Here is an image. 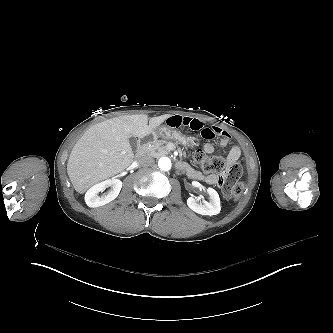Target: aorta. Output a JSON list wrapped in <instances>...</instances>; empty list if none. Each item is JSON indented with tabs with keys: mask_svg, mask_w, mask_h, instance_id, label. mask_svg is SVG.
Masks as SVG:
<instances>
[{
	"mask_svg": "<svg viewBox=\"0 0 333 333\" xmlns=\"http://www.w3.org/2000/svg\"><path fill=\"white\" fill-rule=\"evenodd\" d=\"M158 166L163 171H168L171 169V160L168 157H162L158 161Z\"/></svg>",
	"mask_w": 333,
	"mask_h": 333,
	"instance_id": "1",
	"label": "aorta"
}]
</instances>
